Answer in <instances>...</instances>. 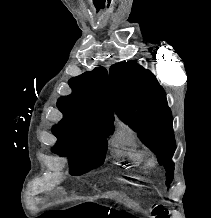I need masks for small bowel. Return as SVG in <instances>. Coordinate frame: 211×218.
I'll return each mask as SVG.
<instances>
[{
  "label": "small bowel",
  "mask_w": 211,
  "mask_h": 218,
  "mask_svg": "<svg viewBox=\"0 0 211 218\" xmlns=\"http://www.w3.org/2000/svg\"><path fill=\"white\" fill-rule=\"evenodd\" d=\"M49 194H51V195H60V194H62V190L60 188H56L54 190H51L49 192Z\"/></svg>",
  "instance_id": "1"
}]
</instances>
